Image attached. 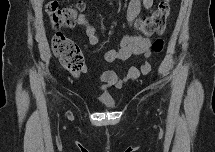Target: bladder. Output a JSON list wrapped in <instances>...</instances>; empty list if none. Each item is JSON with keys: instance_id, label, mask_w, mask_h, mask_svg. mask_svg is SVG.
I'll return each mask as SVG.
<instances>
[{"instance_id": "obj_1", "label": "bladder", "mask_w": 215, "mask_h": 152, "mask_svg": "<svg viewBox=\"0 0 215 152\" xmlns=\"http://www.w3.org/2000/svg\"><path fill=\"white\" fill-rule=\"evenodd\" d=\"M100 104L106 108H114L116 106V102L111 97H101L99 100Z\"/></svg>"}]
</instances>
